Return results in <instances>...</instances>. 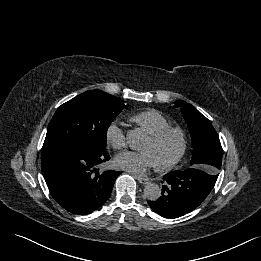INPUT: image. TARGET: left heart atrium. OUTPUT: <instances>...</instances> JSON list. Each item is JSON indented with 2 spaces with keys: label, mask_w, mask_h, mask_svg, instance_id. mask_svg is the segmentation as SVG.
Wrapping results in <instances>:
<instances>
[{
  "label": "left heart atrium",
  "mask_w": 261,
  "mask_h": 261,
  "mask_svg": "<svg viewBox=\"0 0 261 261\" xmlns=\"http://www.w3.org/2000/svg\"><path fill=\"white\" fill-rule=\"evenodd\" d=\"M115 164L118 168L137 175L144 174L150 168L158 165L150 151L120 153L115 158Z\"/></svg>",
  "instance_id": "left-heart-atrium-1"
}]
</instances>
